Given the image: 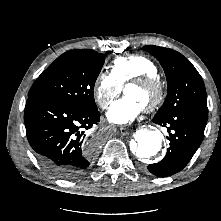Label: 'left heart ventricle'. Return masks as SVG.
I'll return each mask as SVG.
<instances>
[{"label":"left heart ventricle","mask_w":221,"mask_h":221,"mask_svg":"<svg viewBox=\"0 0 221 221\" xmlns=\"http://www.w3.org/2000/svg\"><path fill=\"white\" fill-rule=\"evenodd\" d=\"M125 94L138 100L143 106L154 97V92L145 87L128 86Z\"/></svg>","instance_id":"obj_1"}]
</instances>
